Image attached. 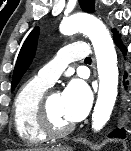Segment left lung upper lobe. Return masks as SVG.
<instances>
[{
  "label": "left lung upper lobe",
  "mask_w": 131,
  "mask_h": 151,
  "mask_svg": "<svg viewBox=\"0 0 131 151\" xmlns=\"http://www.w3.org/2000/svg\"><path fill=\"white\" fill-rule=\"evenodd\" d=\"M81 9L88 13H93L95 11L94 8V0H79ZM114 34H117V32L114 30ZM39 36V28H35L32 30V32L29 34L27 39L25 40L15 65L13 77H12V85L11 90H14L17 84L19 83L20 79L30 66L35 51L37 48V40Z\"/></svg>",
  "instance_id": "5c2ea615"
}]
</instances>
